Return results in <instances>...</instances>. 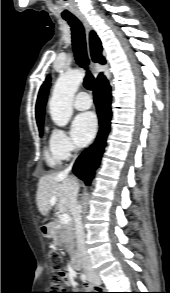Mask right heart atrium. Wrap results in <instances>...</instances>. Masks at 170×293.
<instances>
[{"instance_id":"1","label":"right heart atrium","mask_w":170,"mask_h":293,"mask_svg":"<svg viewBox=\"0 0 170 293\" xmlns=\"http://www.w3.org/2000/svg\"><path fill=\"white\" fill-rule=\"evenodd\" d=\"M50 148L62 160L71 157L76 150L66 132L60 128H55L51 132Z\"/></svg>"}]
</instances>
